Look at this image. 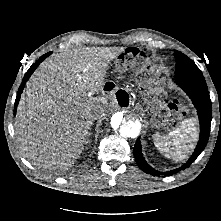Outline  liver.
I'll list each match as a JSON object with an SVG mask.
<instances>
[{"instance_id": "6515ba94", "label": "liver", "mask_w": 221, "mask_h": 221, "mask_svg": "<svg viewBox=\"0 0 221 221\" xmlns=\"http://www.w3.org/2000/svg\"><path fill=\"white\" fill-rule=\"evenodd\" d=\"M123 47H82L45 60L28 81L15 120L24 156L38 165L70 167L80 157L93 122L108 112L109 63ZM97 115H101L98 117Z\"/></svg>"}]
</instances>
